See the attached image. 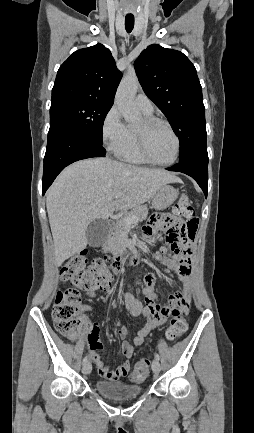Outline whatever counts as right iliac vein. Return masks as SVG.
Returning a JSON list of instances; mask_svg holds the SVG:
<instances>
[{
	"label": "right iliac vein",
	"mask_w": 254,
	"mask_h": 433,
	"mask_svg": "<svg viewBox=\"0 0 254 433\" xmlns=\"http://www.w3.org/2000/svg\"><path fill=\"white\" fill-rule=\"evenodd\" d=\"M92 366L89 362L85 363L83 368H82V372L87 375L91 372Z\"/></svg>",
	"instance_id": "right-iliac-vein-1"
}]
</instances>
